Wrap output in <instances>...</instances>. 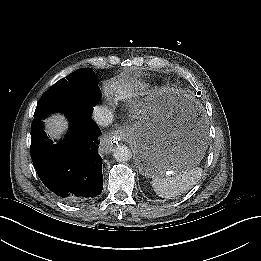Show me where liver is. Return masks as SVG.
Listing matches in <instances>:
<instances>
[{"label":"liver","mask_w":261,"mask_h":261,"mask_svg":"<svg viewBox=\"0 0 261 261\" xmlns=\"http://www.w3.org/2000/svg\"><path fill=\"white\" fill-rule=\"evenodd\" d=\"M47 133L55 139L61 138V135L67 130V121L62 115H54L45 120Z\"/></svg>","instance_id":"6515ba94"}]
</instances>
